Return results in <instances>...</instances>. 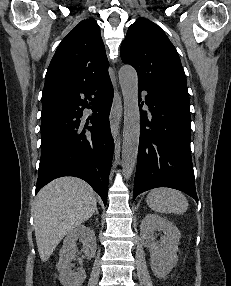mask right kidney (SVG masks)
I'll return each mask as SVG.
<instances>
[{"label": "right kidney", "mask_w": 231, "mask_h": 286, "mask_svg": "<svg viewBox=\"0 0 231 286\" xmlns=\"http://www.w3.org/2000/svg\"><path fill=\"white\" fill-rule=\"evenodd\" d=\"M77 240L82 242L83 252L88 259L93 258L96 253V237L91 228L82 225L71 231L63 241L56 266L59 271V281L63 286H81L86 279L83 268H79L77 272L72 271L71 262L74 259Z\"/></svg>", "instance_id": "ca27d5eb"}]
</instances>
